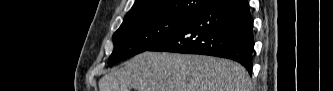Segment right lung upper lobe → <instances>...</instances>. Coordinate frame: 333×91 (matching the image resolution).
<instances>
[{
  "instance_id": "1",
  "label": "right lung upper lobe",
  "mask_w": 333,
  "mask_h": 91,
  "mask_svg": "<svg viewBox=\"0 0 333 91\" xmlns=\"http://www.w3.org/2000/svg\"><path fill=\"white\" fill-rule=\"evenodd\" d=\"M205 0H136L124 21L152 15L196 16Z\"/></svg>"
}]
</instances>
